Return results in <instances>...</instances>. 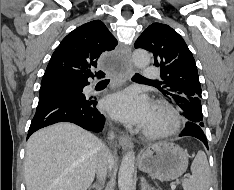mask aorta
<instances>
[{
  "label": "aorta",
  "instance_id": "1",
  "mask_svg": "<svg viewBox=\"0 0 234 190\" xmlns=\"http://www.w3.org/2000/svg\"><path fill=\"white\" fill-rule=\"evenodd\" d=\"M133 62L137 68H144L150 62V55L146 50L137 49L133 52ZM135 153L127 152L119 168L118 187L119 190H132L134 173Z\"/></svg>",
  "mask_w": 234,
  "mask_h": 190
}]
</instances>
